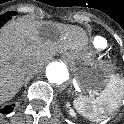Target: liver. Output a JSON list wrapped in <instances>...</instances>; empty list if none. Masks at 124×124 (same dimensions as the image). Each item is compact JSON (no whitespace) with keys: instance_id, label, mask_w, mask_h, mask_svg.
Segmentation results:
<instances>
[{"instance_id":"liver-1","label":"liver","mask_w":124,"mask_h":124,"mask_svg":"<svg viewBox=\"0 0 124 124\" xmlns=\"http://www.w3.org/2000/svg\"><path fill=\"white\" fill-rule=\"evenodd\" d=\"M43 24L21 19L3 28L0 34V105L12 99L25 76L33 72L28 69L30 62L40 68L57 51L69 50L79 56L85 50L87 38L82 28L63 25L48 29L43 28ZM84 59L86 63L91 62L87 55Z\"/></svg>"}]
</instances>
